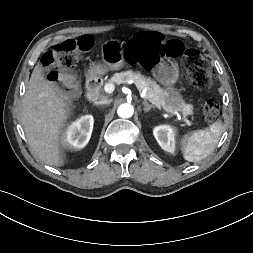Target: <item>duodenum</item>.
Returning <instances> with one entry per match:
<instances>
[{
  "label": "duodenum",
  "mask_w": 253,
  "mask_h": 253,
  "mask_svg": "<svg viewBox=\"0 0 253 253\" xmlns=\"http://www.w3.org/2000/svg\"><path fill=\"white\" fill-rule=\"evenodd\" d=\"M101 81L98 77H90L87 81V98L96 101L99 97Z\"/></svg>",
  "instance_id": "1"
}]
</instances>
